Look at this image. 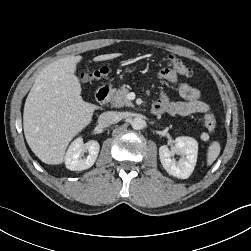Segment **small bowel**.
<instances>
[{"label": "small bowel", "mask_w": 251, "mask_h": 251, "mask_svg": "<svg viewBox=\"0 0 251 251\" xmlns=\"http://www.w3.org/2000/svg\"><path fill=\"white\" fill-rule=\"evenodd\" d=\"M159 78L162 81L175 84L184 101L171 102L167 95L161 91L159 99L153 105L156 109L155 114L167 113L170 116H188L209 110V105L200 100V91L188 83L179 82L176 72L164 69L160 71Z\"/></svg>", "instance_id": "small-bowel-1"}]
</instances>
